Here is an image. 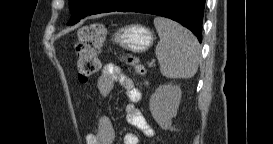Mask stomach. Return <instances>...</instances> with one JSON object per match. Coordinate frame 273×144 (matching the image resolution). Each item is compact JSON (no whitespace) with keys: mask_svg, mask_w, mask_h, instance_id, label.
Listing matches in <instances>:
<instances>
[{"mask_svg":"<svg viewBox=\"0 0 273 144\" xmlns=\"http://www.w3.org/2000/svg\"><path fill=\"white\" fill-rule=\"evenodd\" d=\"M113 40L121 47L135 53L148 50L154 41L152 32L139 24H132L119 29L113 35Z\"/></svg>","mask_w":273,"mask_h":144,"instance_id":"0dacf381","label":"stomach"}]
</instances>
